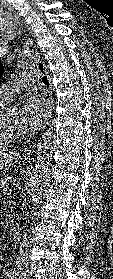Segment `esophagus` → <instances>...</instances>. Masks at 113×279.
Returning <instances> with one entry per match:
<instances>
[{"instance_id":"obj_1","label":"esophagus","mask_w":113,"mask_h":279,"mask_svg":"<svg viewBox=\"0 0 113 279\" xmlns=\"http://www.w3.org/2000/svg\"><path fill=\"white\" fill-rule=\"evenodd\" d=\"M37 70L40 72V73H43L45 74L47 77H48V81H49V86H50V89L52 88V84H51V77L48 73V70H47V66L45 64L44 61H39L38 64H37ZM49 125V123H47ZM33 149H34V146L33 147H30L27 151H25V153L27 155H30L32 152H33Z\"/></svg>"}]
</instances>
